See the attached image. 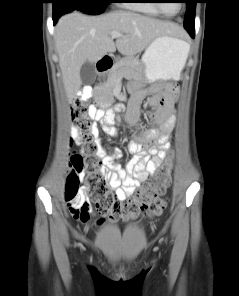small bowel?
I'll return each mask as SVG.
<instances>
[{
    "label": "small bowel",
    "mask_w": 239,
    "mask_h": 296,
    "mask_svg": "<svg viewBox=\"0 0 239 296\" xmlns=\"http://www.w3.org/2000/svg\"><path fill=\"white\" fill-rule=\"evenodd\" d=\"M90 88H86L89 90ZM143 98L141 91L133 92L129 102L127 116L131 123L138 125L140 117V102ZM166 103L161 98L154 97L148 102L151 109H156L152 115L153 126L141 130L139 134L129 142L127 149L132 155L124 168L114 165V158L120 157L121 152L108 151L100 148L99 155L102 157V173L108 187L114 191L119 201L126 200L135 190L154 174L162 165L170 148L169 138L175 127L176 117L173 111L174 94L165 96ZM120 107L106 112L93 109L91 116L101 120L102 130L112 136L117 135L113 126L115 111ZM75 134V130L72 129ZM94 134L99 139V129L95 126ZM133 216H124L127 220Z\"/></svg>",
    "instance_id": "c3829d8e"
}]
</instances>
